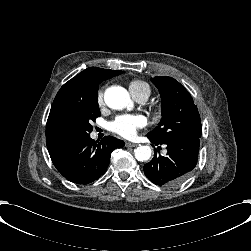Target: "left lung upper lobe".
Returning <instances> with one entry per match:
<instances>
[{
  "instance_id": "obj_1",
  "label": "left lung upper lobe",
  "mask_w": 251,
  "mask_h": 251,
  "mask_svg": "<svg viewBox=\"0 0 251 251\" xmlns=\"http://www.w3.org/2000/svg\"><path fill=\"white\" fill-rule=\"evenodd\" d=\"M151 81L162 100V119L148 135L161 142L180 138L201 137V119L197 106L186 88L168 76H156Z\"/></svg>"
}]
</instances>
